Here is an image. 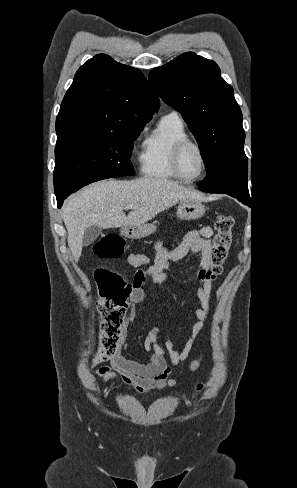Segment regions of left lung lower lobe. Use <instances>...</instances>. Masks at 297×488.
<instances>
[{
  "label": "left lung lower lobe",
  "instance_id": "1",
  "mask_svg": "<svg viewBox=\"0 0 297 488\" xmlns=\"http://www.w3.org/2000/svg\"><path fill=\"white\" fill-rule=\"evenodd\" d=\"M237 199L239 201H241L242 203L246 204L247 206L251 207V199L250 198L249 199H244V198L237 197Z\"/></svg>",
  "mask_w": 297,
  "mask_h": 488
}]
</instances>
